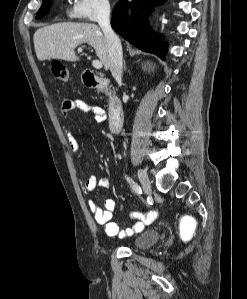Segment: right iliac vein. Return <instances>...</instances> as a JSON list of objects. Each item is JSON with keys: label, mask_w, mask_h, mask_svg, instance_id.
<instances>
[{"label": "right iliac vein", "mask_w": 247, "mask_h": 299, "mask_svg": "<svg viewBox=\"0 0 247 299\" xmlns=\"http://www.w3.org/2000/svg\"><path fill=\"white\" fill-rule=\"evenodd\" d=\"M138 178H139V181H140L143 189L145 190V192L147 194H150L151 193V182L149 180L147 173L144 170L139 169L138 170Z\"/></svg>", "instance_id": "obj_1"}]
</instances>
